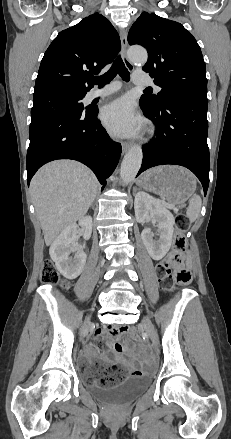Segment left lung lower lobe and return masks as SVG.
<instances>
[{
	"label": "left lung lower lobe",
	"instance_id": "1",
	"mask_svg": "<svg viewBox=\"0 0 231 439\" xmlns=\"http://www.w3.org/2000/svg\"><path fill=\"white\" fill-rule=\"evenodd\" d=\"M146 117L155 124L156 139L143 146V162L137 176L148 168L174 164L190 169L206 195L210 158L207 145V95L180 92L155 107L139 101Z\"/></svg>",
	"mask_w": 231,
	"mask_h": 439
}]
</instances>
